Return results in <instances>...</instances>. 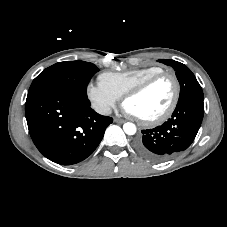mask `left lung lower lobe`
Segmentation results:
<instances>
[{
	"label": "left lung lower lobe",
	"mask_w": 227,
	"mask_h": 227,
	"mask_svg": "<svg viewBox=\"0 0 227 227\" xmlns=\"http://www.w3.org/2000/svg\"><path fill=\"white\" fill-rule=\"evenodd\" d=\"M204 98L187 97L178 104L168 121L153 129L142 130L135 142L136 151L160 162L187 149L194 141L204 115Z\"/></svg>",
	"instance_id": "left-lung-lower-lobe-1"
}]
</instances>
